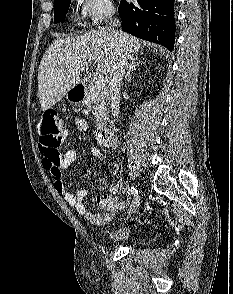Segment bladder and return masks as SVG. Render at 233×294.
Masks as SVG:
<instances>
[{
    "label": "bladder",
    "instance_id": "obj_1",
    "mask_svg": "<svg viewBox=\"0 0 233 294\" xmlns=\"http://www.w3.org/2000/svg\"><path fill=\"white\" fill-rule=\"evenodd\" d=\"M136 235L134 228L126 225H120L107 231L106 238L109 242L115 244L128 243Z\"/></svg>",
    "mask_w": 233,
    "mask_h": 294
}]
</instances>
